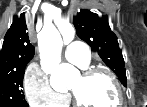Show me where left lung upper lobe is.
Returning <instances> with one entry per match:
<instances>
[{
    "instance_id": "1",
    "label": "left lung upper lobe",
    "mask_w": 147,
    "mask_h": 107,
    "mask_svg": "<svg viewBox=\"0 0 147 107\" xmlns=\"http://www.w3.org/2000/svg\"><path fill=\"white\" fill-rule=\"evenodd\" d=\"M77 36L98 53L104 63L119 77L126 87V70L117 36L111 31L107 17H98L89 10H80L73 19Z\"/></svg>"
}]
</instances>
